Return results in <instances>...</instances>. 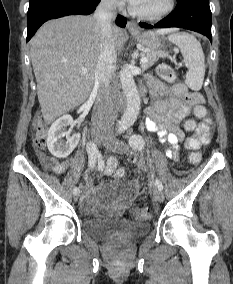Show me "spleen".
Listing matches in <instances>:
<instances>
[{"mask_svg":"<svg viewBox=\"0 0 233 284\" xmlns=\"http://www.w3.org/2000/svg\"><path fill=\"white\" fill-rule=\"evenodd\" d=\"M159 32L169 33V41L179 47L188 68L185 82L190 89L199 91L202 88L205 75V57L200 42L194 36L188 33H179L176 29Z\"/></svg>","mask_w":233,"mask_h":284,"instance_id":"spleen-1","label":"spleen"}]
</instances>
